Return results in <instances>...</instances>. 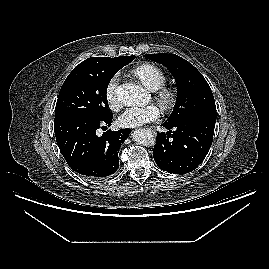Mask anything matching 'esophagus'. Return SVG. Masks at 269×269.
I'll return each instance as SVG.
<instances>
[{
  "instance_id": "obj_1",
  "label": "esophagus",
  "mask_w": 269,
  "mask_h": 269,
  "mask_svg": "<svg viewBox=\"0 0 269 269\" xmlns=\"http://www.w3.org/2000/svg\"><path fill=\"white\" fill-rule=\"evenodd\" d=\"M148 130H149L150 132H152V133H155V131L152 130L151 128H148Z\"/></svg>"
}]
</instances>
